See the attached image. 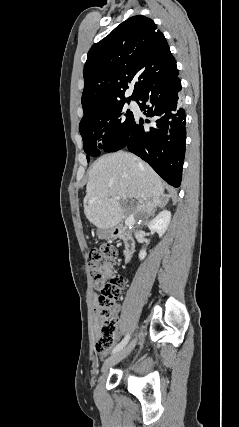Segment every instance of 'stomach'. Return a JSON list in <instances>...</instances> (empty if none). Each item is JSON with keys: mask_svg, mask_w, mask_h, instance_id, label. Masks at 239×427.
I'll list each match as a JSON object with an SVG mask.
<instances>
[{"mask_svg": "<svg viewBox=\"0 0 239 427\" xmlns=\"http://www.w3.org/2000/svg\"><path fill=\"white\" fill-rule=\"evenodd\" d=\"M97 235L100 239H109L113 237L112 229H98Z\"/></svg>", "mask_w": 239, "mask_h": 427, "instance_id": "0dacf381", "label": "stomach"}]
</instances>
